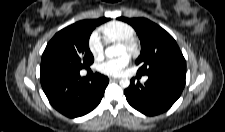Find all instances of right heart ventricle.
Wrapping results in <instances>:
<instances>
[{
    "mask_svg": "<svg viewBox=\"0 0 225 132\" xmlns=\"http://www.w3.org/2000/svg\"><path fill=\"white\" fill-rule=\"evenodd\" d=\"M100 32L108 43L119 42L135 36V29L130 24L122 21H111L103 25Z\"/></svg>",
    "mask_w": 225,
    "mask_h": 132,
    "instance_id": "obj_1",
    "label": "right heart ventricle"
}]
</instances>
